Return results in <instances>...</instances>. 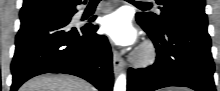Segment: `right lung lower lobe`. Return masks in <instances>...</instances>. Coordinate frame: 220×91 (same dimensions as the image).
Here are the masks:
<instances>
[{
	"label": "right lung lower lobe",
	"instance_id": "1",
	"mask_svg": "<svg viewBox=\"0 0 220 91\" xmlns=\"http://www.w3.org/2000/svg\"><path fill=\"white\" fill-rule=\"evenodd\" d=\"M21 18L11 64L16 91L28 79L44 73L81 77L100 91L113 86L112 53L108 40L97 35V25L73 26L75 6Z\"/></svg>",
	"mask_w": 220,
	"mask_h": 91
}]
</instances>
